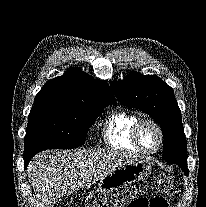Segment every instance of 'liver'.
<instances>
[{"mask_svg":"<svg viewBox=\"0 0 206 207\" xmlns=\"http://www.w3.org/2000/svg\"><path fill=\"white\" fill-rule=\"evenodd\" d=\"M138 157L106 150H47L30 161L28 179L36 207H54L61 198L89 187Z\"/></svg>","mask_w":206,"mask_h":207,"instance_id":"6515ba94","label":"liver"}]
</instances>
